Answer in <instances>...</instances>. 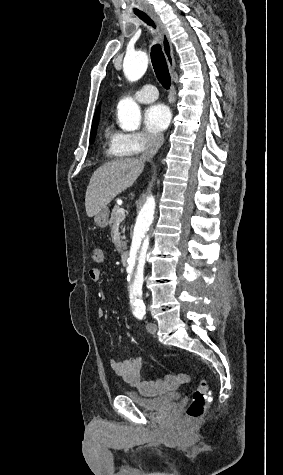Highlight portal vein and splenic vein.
Wrapping results in <instances>:
<instances>
[{"label": "portal vein and splenic vein", "mask_w": 283, "mask_h": 475, "mask_svg": "<svg viewBox=\"0 0 283 475\" xmlns=\"http://www.w3.org/2000/svg\"><path fill=\"white\" fill-rule=\"evenodd\" d=\"M121 214H125V210H121Z\"/></svg>", "instance_id": "portal-vein-and-splenic-vein-1"}]
</instances>
